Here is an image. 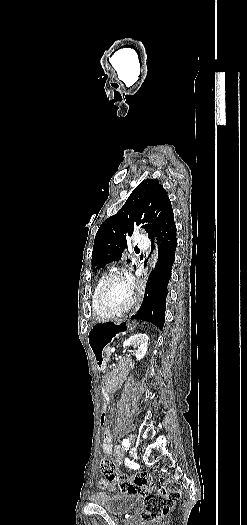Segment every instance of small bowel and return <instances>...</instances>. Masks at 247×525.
<instances>
[{"instance_id": "1", "label": "small bowel", "mask_w": 247, "mask_h": 525, "mask_svg": "<svg viewBox=\"0 0 247 525\" xmlns=\"http://www.w3.org/2000/svg\"><path fill=\"white\" fill-rule=\"evenodd\" d=\"M105 400L107 402L110 401L111 400V396L109 394H106L105 395ZM102 425H105V424H102ZM102 451L107 456H113L114 457V461H115L116 464H120L121 463V459H122L121 450L119 448L114 450L113 444H112V433H111V430L109 428H106L103 431V435H102ZM98 484L101 487H106L107 486V481L105 479H99ZM107 493H110V490H107Z\"/></svg>"}]
</instances>
